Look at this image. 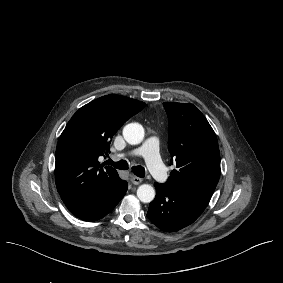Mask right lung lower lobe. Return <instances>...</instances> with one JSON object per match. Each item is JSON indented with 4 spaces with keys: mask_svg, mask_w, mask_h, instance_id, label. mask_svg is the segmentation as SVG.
I'll use <instances>...</instances> for the list:
<instances>
[{
    "mask_svg": "<svg viewBox=\"0 0 283 283\" xmlns=\"http://www.w3.org/2000/svg\"><path fill=\"white\" fill-rule=\"evenodd\" d=\"M127 182L123 181L121 184L120 189L115 194L108 197L104 202L101 204L85 211L74 212L73 214L85 221H96L100 218L104 217L108 213H110L115 206L119 203V201L124 197L127 191Z\"/></svg>",
    "mask_w": 283,
    "mask_h": 283,
    "instance_id": "1",
    "label": "right lung lower lobe"
}]
</instances>
